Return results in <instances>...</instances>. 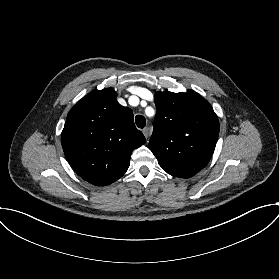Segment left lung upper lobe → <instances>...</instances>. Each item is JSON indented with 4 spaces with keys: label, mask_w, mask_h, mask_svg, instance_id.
Listing matches in <instances>:
<instances>
[{
    "label": "left lung upper lobe",
    "mask_w": 279,
    "mask_h": 279,
    "mask_svg": "<svg viewBox=\"0 0 279 279\" xmlns=\"http://www.w3.org/2000/svg\"><path fill=\"white\" fill-rule=\"evenodd\" d=\"M156 116L149 148L169 174L190 178L204 168L215 150L219 121L198 93L156 92Z\"/></svg>",
    "instance_id": "5c2ea615"
}]
</instances>
